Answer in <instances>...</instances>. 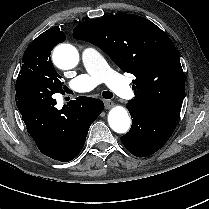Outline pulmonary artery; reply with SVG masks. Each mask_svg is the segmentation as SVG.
I'll return each instance as SVG.
<instances>
[{"instance_id":"1","label":"pulmonary artery","mask_w":209,"mask_h":209,"mask_svg":"<svg viewBox=\"0 0 209 209\" xmlns=\"http://www.w3.org/2000/svg\"><path fill=\"white\" fill-rule=\"evenodd\" d=\"M81 58L86 73L77 76L70 82L72 90L86 93L99 83L105 82L120 98L130 99L133 97V91L129 85L108 67L94 46L84 48Z\"/></svg>"}]
</instances>
